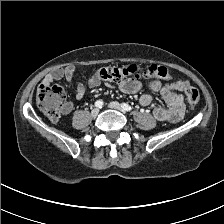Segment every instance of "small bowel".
<instances>
[{
  "label": "small bowel",
  "instance_id": "obj_1",
  "mask_svg": "<svg viewBox=\"0 0 224 224\" xmlns=\"http://www.w3.org/2000/svg\"><path fill=\"white\" fill-rule=\"evenodd\" d=\"M75 67L66 66L63 68H58L48 73L41 84L49 85L54 81L65 79L69 83H74ZM88 86L91 88L97 87L101 84V79L98 75H92L89 77ZM148 88L152 91L160 93L163 100L165 101L167 107H155L152 111L154 118L158 121L164 122H177L179 121L185 111L184 96L182 92L187 88L188 82L183 80H174L167 83H162L158 80H149L146 82ZM75 94L77 99H81L86 95V88L82 82H75ZM121 91L124 93H136L140 91L143 87V83L138 80H125L119 85ZM139 103L143 107L151 106L153 104V99L149 94H143ZM72 109L71 104L64 113H69Z\"/></svg>",
  "mask_w": 224,
  "mask_h": 224
}]
</instances>
